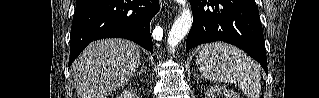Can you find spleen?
<instances>
[{"mask_svg": "<svg viewBox=\"0 0 319 98\" xmlns=\"http://www.w3.org/2000/svg\"><path fill=\"white\" fill-rule=\"evenodd\" d=\"M196 64L206 79L236 84L248 98H259V66L240 49L221 42L207 44L199 52Z\"/></svg>", "mask_w": 319, "mask_h": 98, "instance_id": "obj_1", "label": "spleen"}]
</instances>
